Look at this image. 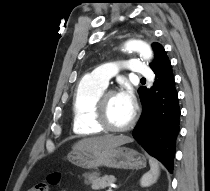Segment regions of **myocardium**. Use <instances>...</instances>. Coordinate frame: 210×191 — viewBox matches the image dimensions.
I'll use <instances>...</instances> for the list:
<instances>
[{"label": "myocardium", "instance_id": "1", "mask_svg": "<svg viewBox=\"0 0 210 191\" xmlns=\"http://www.w3.org/2000/svg\"><path fill=\"white\" fill-rule=\"evenodd\" d=\"M114 94H116V91L110 89V90H104L98 96L94 106V121L103 131L113 132V133L125 132L130 130L136 122L137 118L136 108L135 107L133 108L131 119L126 125L122 127L112 126L107 116V99L109 96Z\"/></svg>", "mask_w": 210, "mask_h": 191}]
</instances>
